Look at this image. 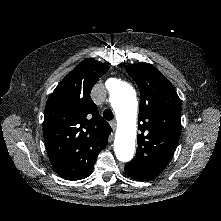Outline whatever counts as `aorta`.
<instances>
[{"label": "aorta", "instance_id": "762f6f07", "mask_svg": "<svg viewBox=\"0 0 221 221\" xmlns=\"http://www.w3.org/2000/svg\"><path fill=\"white\" fill-rule=\"evenodd\" d=\"M111 104L120 119L114 151L118 160L128 162L135 150L137 98L133 87L118 83L110 93Z\"/></svg>", "mask_w": 221, "mask_h": 221}]
</instances>
